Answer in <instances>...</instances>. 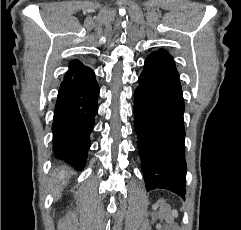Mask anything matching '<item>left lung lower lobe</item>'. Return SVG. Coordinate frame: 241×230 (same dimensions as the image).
<instances>
[{"label": "left lung lower lobe", "instance_id": "left-lung-lower-lobe-1", "mask_svg": "<svg viewBox=\"0 0 241 230\" xmlns=\"http://www.w3.org/2000/svg\"><path fill=\"white\" fill-rule=\"evenodd\" d=\"M138 81L133 111L147 191L184 195V99L173 58L151 53Z\"/></svg>", "mask_w": 241, "mask_h": 230}]
</instances>
